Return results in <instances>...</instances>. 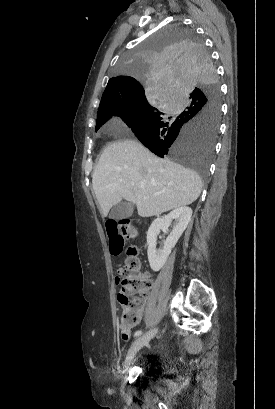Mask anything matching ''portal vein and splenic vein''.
<instances>
[{"label":"portal vein and splenic vein","mask_w":275,"mask_h":409,"mask_svg":"<svg viewBox=\"0 0 275 409\" xmlns=\"http://www.w3.org/2000/svg\"><path fill=\"white\" fill-rule=\"evenodd\" d=\"M131 184H135V182H131Z\"/></svg>","instance_id":"portal-vein-and-splenic-vein-1"}]
</instances>
